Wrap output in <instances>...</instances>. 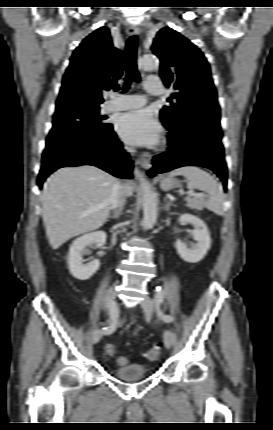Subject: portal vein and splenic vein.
Returning <instances> with one entry per match:
<instances>
[{
  "label": "portal vein and splenic vein",
  "mask_w": 273,
  "mask_h": 430,
  "mask_svg": "<svg viewBox=\"0 0 273 430\" xmlns=\"http://www.w3.org/2000/svg\"><path fill=\"white\" fill-rule=\"evenodd\" d=\"M191 196L204 197V194H203V193H193V192H189V193H188V197H191Z\"/></svg>",
  "instance_id": "18ae733b"
}]
</instances>
